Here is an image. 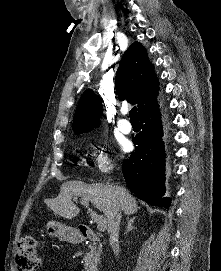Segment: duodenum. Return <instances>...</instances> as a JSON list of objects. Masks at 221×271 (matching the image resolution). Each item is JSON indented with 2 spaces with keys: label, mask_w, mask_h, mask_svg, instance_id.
Instances as JSON below:
<instances>
[{
  "label": "duodenum",
  "mask_w": 221,
  "mask_h": 271,
  "mask_svg": "<svg viewBox=\"0 0 221 271\" xmlns=\"http://www.w3.org/2000/svg\"><path fill=\"white\" fill-rule=\"evenodd\" d=\"M97 239L96 234L90 230H82L78 238L75 239V242L82 241H95ZM89 271H98L97 268H91Z\"/></svg>",
  "instance_id": "obj_1"
}]
</instances>
